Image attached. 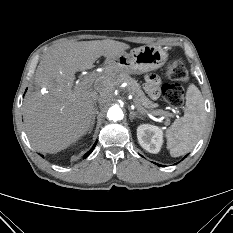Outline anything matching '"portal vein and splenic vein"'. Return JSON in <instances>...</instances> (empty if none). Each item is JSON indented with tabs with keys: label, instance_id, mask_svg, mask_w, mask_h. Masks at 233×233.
<instances>
[{
	"label": "portal vein and splenic vein",
	"instance_id": "18ae733b",
	"mask_svg": "<svg viewBox=\"0 0 233 233\" xmlns=\"http://www.w3.org/2000/svg\"><path fill=\"white\" fill-rule=\"evenodd\" d=\"M93 84V79H92V77H85L79 84H78V86H79V88L81 89V90H85V89H89L90 87H91V85ZM138 110L140 111V112H142V113H148V114H152V115H156V116H158V115H160V116H166L167 114H166V112H164V111H154V112H148V111H146L145 109H143V108H140V107H138Z\"/></svg>",
	"mask_w": 233,
	"mask_h": 233
}]
</instances>
